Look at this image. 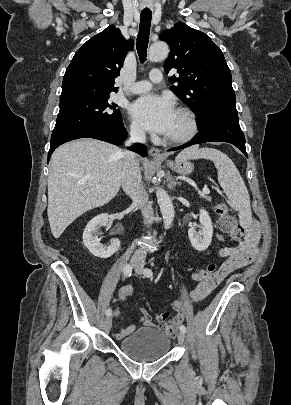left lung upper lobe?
<instances>
[{
    "label": "left lung upper lobe",
    "instance_id": "left-lung-upper-lobe-1",
    "mask_svg": "<svg viewBox=\"0 0 291 405\" xmlns=\"http://www.w3.org/2000/svg\"><path fill=\"white\" fill-rule=\"evenodd\" d=\"M171 51L164 63L165 72L177 69V83L171 90L197 116L198 128H204L212 116L221 110L237 112L232 77L220 48L210 37L184 23H177L160 34Z\"/></svg>",
    "mask_w": 291,
    "mask_h": 405
}]
</instances>
